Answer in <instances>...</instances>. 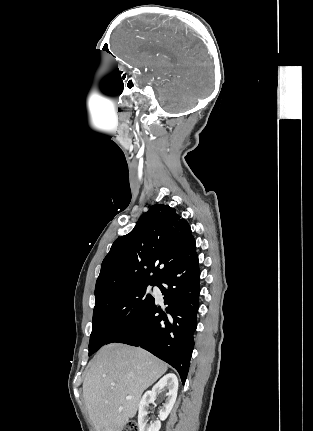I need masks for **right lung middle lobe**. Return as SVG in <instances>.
I'll return each instance as SVG.
<instances>
[{"instance_id":"right-lung-middle-lobe-1","label":"right lung middle lobe","mask_w":313,"mask_h":431,"mask_svg":"<svg viewBox=\"0 0 313 431\" xmlns=\"http://www.w3.org/2000/svg\"><path fill=\"white\" fill-rule=\"evenodd\" d=\"M149 285L132 286L95 301L89 356L124 329L153 298Z\"/></svg>"}]
</instances>
